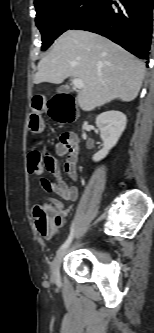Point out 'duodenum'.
Wrapping results in <instances>:
<instances>
[{"mask_svg":"<svg viewBox=\"0 0 154 333\" xmlns=\"http://www.w3.org/2000/svg\"><path fill=\"white\" fill-rule=\"evenodd\" d=\"M53 111L64 120L73 121L76 118L74 99L68 94L59 95Z\"/></svg>","mask_w":154,"mask_h":333,"instance_id":"duodenum-1","label":"duodenum"}]
</instances>
